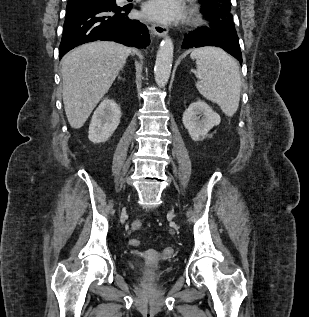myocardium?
<instances>
[{"label": "myocardium", "mask_w": 309, "mask_h": 317, "mask_svg": "<svg viewBox=\"0 0 309 317\" xmlns=\"http://www.w3.org/2000/svg\"><path fill=\"white\" fill-rule=\"evenodd\" d=\"M204 18L200 12H195L191 17V23L195 25H200L204 23Z\"/></svg>", "instance_id": "myocardium-1"}]
</instances>
